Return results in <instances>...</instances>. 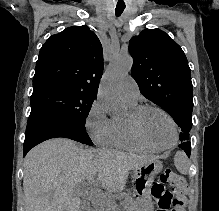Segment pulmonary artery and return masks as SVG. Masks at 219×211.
Instances as JSON below:
<instances>
[{
	"label": "pulmonary artery",
	"mask_w": 219,
	"mask_h": 211,
	"mask_svg": "<svg viewBox=\"0 0 219 211\" xmlns=\"http://www.w3.org/2000/svg\"><path fill=\"white\" fill-rule=\"evenodd\" d=\"M120 94L127 104L137 103L140 91L138 84L131 75H127L120 87Z\"/></svg>",
	"instance_id": "obj_1"
}]
</instances>
